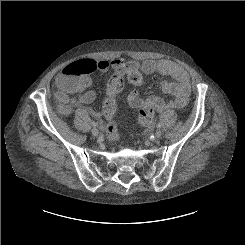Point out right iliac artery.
<instances>
[{"label": "right iliac artery", "instance_id": "obj_1", "mask_svg": "<svg viewBox=\"0 0 245 245\" xmlns=\"http://www.w3.org/2000/svg\"><path fill=\"white\" fill-rule=\"evenodd\" d=\"M92 125H93V127H96L97 126V124L95 122H92Z\"/></svg>", "mask_w": 245, "mask_h": 245}]
</instances>
